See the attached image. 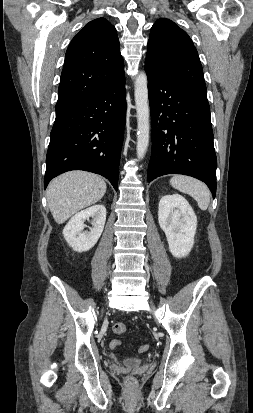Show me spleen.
<instances>
[{
  "label": "spleen",
  "instance_id": "obj_1",
  "mask_svg": "<svg viewBox=\"0 0 253 413\" xmlns=\"http://www.w3.org/2000/svg\"><path fill=\"white\" fill-rule=\"evenodd\" d=\"M170 184L180 192L192 196L201 210H207L210 203V191L206 184L184 175H174L170 180Z\"/></svg>",
  "mask_w": 253,
  "mask_h": 413
}]
</instances>
